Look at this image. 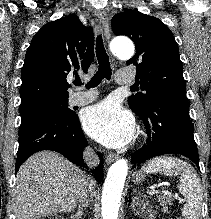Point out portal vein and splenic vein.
Masks as SVG:
<instances>
[{
    "instance_id": "portal-vein-and-splenic-vein-1",
    "label": "portal vein and splenic vein",
    "mask_w": 211,
    "mask_h": 219,
    "mask_svg": "<svg viewBox=\"0 0 211 219\" xmlns=\"http://www.w3.org/2000/svg\"><path fill=\"white\" fill-rule=\"evenodd\" d=\"M159 192H160L159 190L153 189V190L150 191V194H156V193H159ZM162 192L165 193V194L171 195L170 192H167V191H162Z\"/></svg>"
}]
</instances>
